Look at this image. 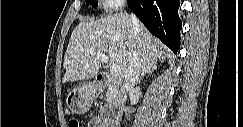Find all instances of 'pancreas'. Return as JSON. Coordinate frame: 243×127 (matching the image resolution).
<instances>
[{"label":"pancreas","instance_id":"cf45deb5","mask_svg":"<svg viewBox=\"0 0 243 127\" xmlns=\"http://www.w3.org/2000/svg\"><path fill=\"white\" fill-rule=\"evenodd\" d=\"M106 100L109 104H115L118 100L117 93L112 90H107L106 92Z\"/></svg>","mask_w":243,"mask_h":127}]
</instances>
